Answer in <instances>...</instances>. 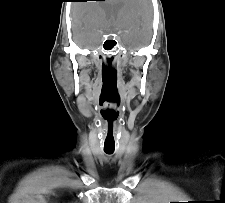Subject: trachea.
Listing matches in <instances>:
<instances>
[{"label":"trachea","mask_w":225,"mask_h":203,"mask_svg":"<svg viewBox=\"0 0 225 203\" xmlns=\"http://www.w3.org/2000/svg\"><path fill=\"white\" fill-rule=\"evenodd\" d=\"M105 153L112 154L113 153V150H105Z\"/></svg>","instance_id":"trachea-1"}]
</instances>
